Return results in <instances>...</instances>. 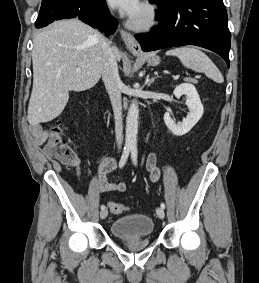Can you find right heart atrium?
Segmentation results:
<instances>
[{"label": "right heart atrium", "instance_id": "obj_1", "mask_svg": "<svg viewBox=\"0 0 259 283\" xmlns=\"http://www.w3.org/2000/svg\"><path fill=\"white\" fill-rule=\"evenodd\" d=\"M104 10L105 12H110L111 11V7L108 4L104 5Z\"/></svg>", "mask_w": 259, "mask_h": 283}]
</instances>
